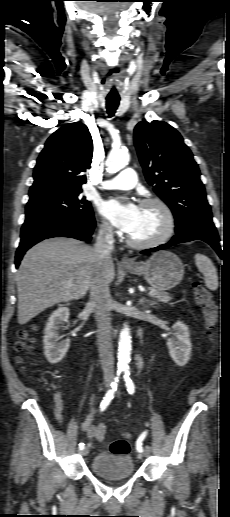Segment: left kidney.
<instances>
[{
	"instance_id": "left-kidney-1",
	"label": "left kidney",
	"mask_w": 230,
	"mask_h": 517,
	"mask_svg": "<svg viewBox=\"0 0 230 517\" xmlns=\"http://www.w3.org/2000/svg\"><path fill=\"white\" fill-rule=\"evenodd\" d=\"M172 328L174 336L167 341L169 354L178 366H184L192 351L189 328L182 321H177Z\"/></svg>"
}]
</instances>
